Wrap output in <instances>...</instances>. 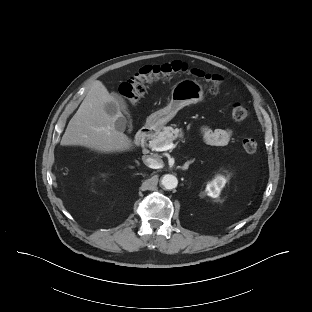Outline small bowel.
I'll list each match as a JSON object with an SVG mask.
<instances>
[{
	"label": "small bowel",
	"instance_id": "1",
	"mask_svg": "<svg viewBox=\"0 0 312 312\" xmlns=\"http://www.w3.org/2000/svg\"><path fill=\"white\" fill-rule=\"evenodd\" d=\"M200 133L206 143L214 146L226 145L230 141L233 134L230 128L213 130L206 126L201 127Z\"/></svg>",
	"mask_w": 312,
	"mask_h": 312
}]
</instances>
